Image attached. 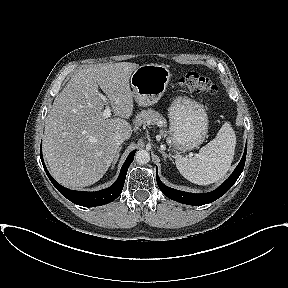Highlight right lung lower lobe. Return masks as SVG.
<instances>
[{"label": "right lung lower lobe", "mask_w": 288, "mask_h": 288, "mask_svg": "<svg viewBox=\"0 0 288 288\" xmlns=\"http://www.w3.org/2000/svg\"><path fill=\"white\" fill-rule=\"evenodd\" d=\"M135 152L136 150L132 151L127 157L125 163L123 164L121 168V172L119 174L117 181L111 187L104 189V190L96 191V192L73 191L65 187H62L51 177V175L47 171L44 161H43L41 149H40V157H41V161H42V164H43V167L47 176L49 177L52 184L56 187V189L64 197H66L68 200H70L71 202L77 205L84 206V207H94V206H100V205L110 203L121 194L123 186H124V182H125V177H126L129 165L133 161Z\"/></svg>", "instance_id": "1"}]
</instances>
